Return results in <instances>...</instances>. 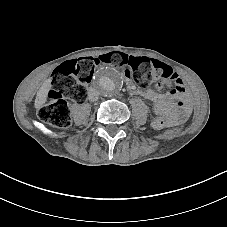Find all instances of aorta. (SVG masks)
Wrapping results in <instances>:
<instances>
[{"label": "aorta", "instance_id": "aorta-1", "mask_svg": "<svg viewBox=\"0 0 227 227\" xmlns=\"http://www.w3.org/2000/svg\"><path fill=\"white\" fill-rule=\"evenodd\" d=\"M93 78L94 88L105 97L114 96L123 85L121 73L111 66L99 68Z\"/></svg>", "mask_w": 227, "mask_h": 227}]
</instances>
